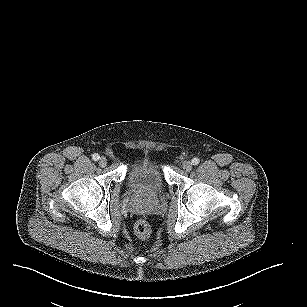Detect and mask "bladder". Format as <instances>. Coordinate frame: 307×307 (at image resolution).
Instances as JSON below:
<instances>
[{
  "label": "bladder",
  "instance_id": "obj_1",
  "mask_svg": "<svg viewBox=\"0 0 307 307\" xmlns=\"http://www.w3.org/2000/svg\"><path fill=\"white\" fill-rule=\"evenodd\" d=\"M133 175L129 186L137 191L160 192L163 189V172L157 161L148 163L143 158H135L129 163Z\"/></svg>",
  "mask_w": 307,
  "mask_h": 307
}]
</instances>
